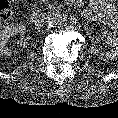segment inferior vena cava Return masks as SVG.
<instances>
[{"mask_svg": "<svg viewBox=\"0 0 118 118\" xmlns=\"http://www.w3.org/2000/svg\"><path fill=\"white\" fill-rule=\"evenodd\" d=\"M45 19H46L45 16H41V17H39V18H37V19L34 20V24L36 26H39V25H41L45 21Z\"/></svg>", "mask_w": 118, "mask_h": 118, "instance_id": "obj_1", "label": "inferior vena cava"}]
</instances>
